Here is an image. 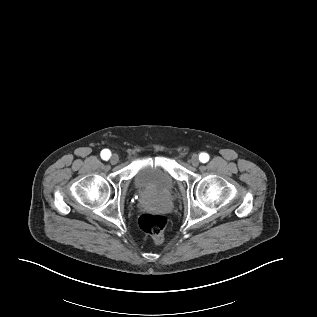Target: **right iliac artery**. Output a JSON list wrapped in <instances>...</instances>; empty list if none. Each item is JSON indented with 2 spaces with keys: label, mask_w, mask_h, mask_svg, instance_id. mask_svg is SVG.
I'll return each instance as SVG.
<instances>
[{
  "label": "right iliac artery",
  "mask_w": 317,
  "mask_h": 317,
  "mask_svg": "<svg viewBox=\"0 0 317 317\" xmlns=\"http://www.w3.org/2000/svg\"><path fill=\"white\" fill-rule=\"evenodd\" d=\"M110 156H111L110 150L104 149V150L101 151V158L103 160H108L110 158Z\"/></svg>",
  "instance_id": "right-iliac-artery-1"
}]
</instances>
